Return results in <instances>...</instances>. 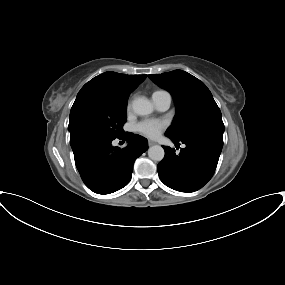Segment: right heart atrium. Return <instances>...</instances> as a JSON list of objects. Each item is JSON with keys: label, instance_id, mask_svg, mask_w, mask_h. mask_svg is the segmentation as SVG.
Wrapping results in <instances>:
<instances>
[{"label": "right heart atrium", "instance_id": "obj_1", "mask_svg": "<svg viewBox=\"0 0 285 285\" xmlns=\"http://www.w3.org/2000/svg\"><path fill=\"white\" fill-rule=\"evenodd\" d=\"M131 109V102L128 103V110Z\"/></svg>", "mask_w": 285, "mask_h": 285}]
</instances>
